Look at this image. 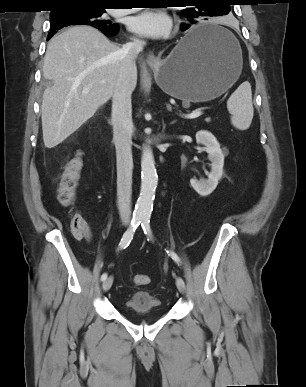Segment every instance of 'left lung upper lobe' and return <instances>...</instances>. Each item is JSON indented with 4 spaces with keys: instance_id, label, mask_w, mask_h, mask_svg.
I'll list each match as a JSON object with an SVG mask.
<instances>
[{
    "instance_id": "left-lung-upper-lobe-1",
    "label": "left lung upper lobe",
    "mask_w": 306,
    "mask_h": 387,
    "mask_svg": "<svg viewBox=\"0 0 306 387\" xmlns=\"http://www.w3.org/2000/svg\"><path fill=\"white\" fill-rule=\"evenodd\" d=\"M187 3L194 5L182 10L189 24L208 20L212 16L227 15L230 12L228 0H183V4Z\"/></svg>"
}]
</instances>
